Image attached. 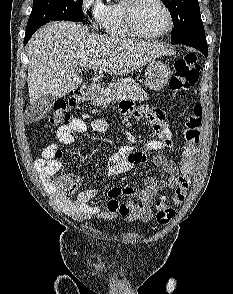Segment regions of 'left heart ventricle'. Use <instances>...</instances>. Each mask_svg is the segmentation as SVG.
Listing matches in <instances>:
<instances>
[{"instance_id":"left-heart-ventricle-1","label":"left heart ventricle","mask_w":233,"mask_h":294,"mask_svg":"<svg viewBox=\"0 0 233 294\" xmlns=\"http://www.w3.org/2000/svg\"><path fill=\"white\" fill-rule=\"evenodd\" d=\"M136 20L142 31L157 34L168 26V18L156 0H142L136 9Z\"/></svg>"}]
</instances>
